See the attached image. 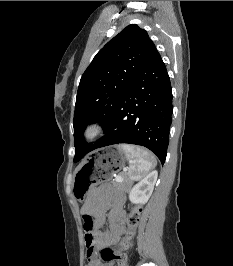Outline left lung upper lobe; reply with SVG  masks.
I'll list each match as a JSON object with an SVG mask.
<instances>
[{
    "label": "left lung upper lobe",
    "mask_w": 233,
    "mask_h": 266,
    "mask_svg": "<svg viewBox=\"0 0 233 266\" xmlns=\"http://www.w3.org/2000/svg\"><path fill=\"white\" fill-rule=\"evenodd\" d=\"M155 50L147 32L131 24L96 54L78 87L73 121L74 162L79 161L90 147L84 141L85 127L96 121L107 124Z\"/></svg>",
    "instance_id": "5c2ea615"
}]
</instances>
